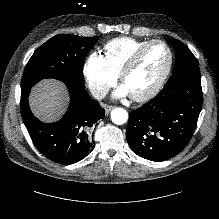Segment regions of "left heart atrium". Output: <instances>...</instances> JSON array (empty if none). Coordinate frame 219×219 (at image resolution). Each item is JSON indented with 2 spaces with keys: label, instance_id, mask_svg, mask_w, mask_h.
Wrapping results in <instances>:
<instances>
[{
  "label": "left heart atrium",
  "instance_id": "39dd6f15",
  "mask_svg": "<svg viewBox=\"0 0 219 219\" xmlns=\"http://www.w3.org/2000/svg\"><path fill=\"white\" fill-rule=\"evenodd\" d=\"M116 94H117V95H120V96L130 95V94H129V91L127 90V88H126L124 85L120 86V87L117 89Z\"/></svg>",
  "mask_w": 219,
  "mask_h": 219
}]
</instances>
